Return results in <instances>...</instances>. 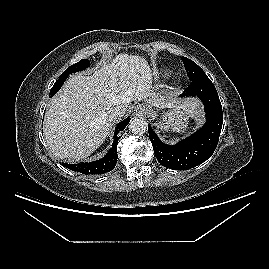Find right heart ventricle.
Returning <instances> with one entry per match:
<instances>
[{
    "mask_svg": "<svg viewBox=\"0 0 269 269\" xmlns=\"http://www.w3.org/2000/svg\"><path fill=\"white\" fill-rule=\"evenodd\" d=\"M157 75L161 78H165L171 75V71L167 68H161L159 69V71L157 72Z\"/></svg>",
    "mask_w": 269,
    "mask_h": 269,
    "instance_id": "1",
    "label": "right heart ventricle"
}]
</instances>
